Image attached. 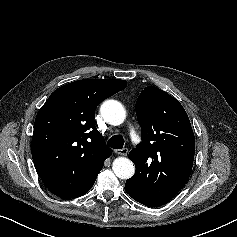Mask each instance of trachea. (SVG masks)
I'll list each match as a JSON object with an SVG mask.
<instances>
[{
    "mask_svg": "<svg viewBox=\"0 0 237 237\" xmlns=\"http://www.w3.org/2000/svg\"><path fill=\"white\" fill-rule=\"evenodd\" d=\"M108 145L113 149H122L124 139L121 135H114L108 140Z\"/></svg>",
    "mask_w": 237,
    "mask_h": 237,
    "instance_id": "trachea-1",
    "label": "trachea"
}]
</instances>
